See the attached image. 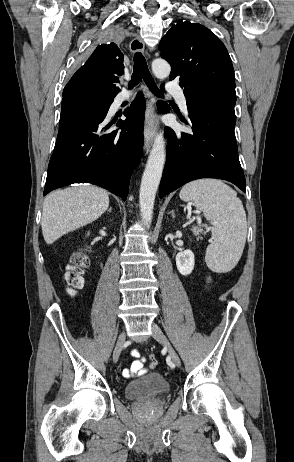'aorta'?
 <instances>
[{
  "label": "aorta",
  "instance_id": "obj_1",
  "mask_svg": "<svg viewBox=\"0 0 294 462\" xmlns=\"http://www.w3.org/2000/svg\"><path fill=\"white\" fill-rule=\"evenodd\" d=\"M152 71L158 79H165L171 72L169 63L163 59L152 62ZM166 160L165 141L162 133L157 134L142 176L139 203L143 223L149 227L152 222L156 192L162 177Z\"/></svg>",
  "mask_w": 294,
  "mask_h": 462
}]
</instances>
